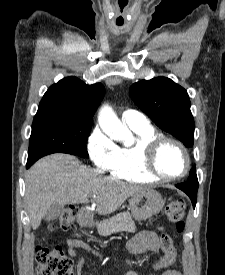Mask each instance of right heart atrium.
Here are the masks:
<instances>
[{"instance_id":"1","label":"right heart atrium","mask_w":225,"mask_h":275,"mask_svg":"<svg viewBox=\"0 0 225 275\" xmlns=\"http://www.w3.org/2000/svg\"><path fill=\"white\" fill-rule=\"evenodd\" d=\"M87 149L90 160L100 171L110 169L118 151L117 145L99 128H95L90 134Z\"/></svg>"}]
</instances>
